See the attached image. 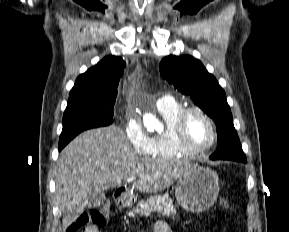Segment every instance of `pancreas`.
<instances>
[{"mask_svg": "<svg viewBox=\"0 0 289 232\" xmlns=\"http://www.w3.org/2000/svg\"><path fill=\"white\" fill-rule=\"evenodd\" d=\"M153 212L162 214L163 216H173L176 214V209L173 204V200L167 195L160 196L154 195L149 197L147 200H142L138 203L136 208H133L129 213V217H134L135 215H150Z\"/></svg>", "mask_w": 289, "mask_h": 232, "instance_id": "obj_1", "label": "pancreas"}]
</instances>
